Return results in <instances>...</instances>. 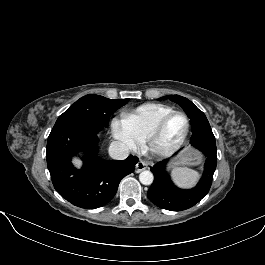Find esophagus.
Wrapping results in <instances>:
<instances>
[{
  "mask_svg": "<svg viewBox=\"0 0 265 265\" xmlns=\"http://www.w3.org/2000/svg\"><path fill=\"white\" fill-rule=\"evenodd\" d=\"M147 166H148L147 162L140 160L136 165L135 172L140 173L141 171L145 170Z\"/></svg>",
  "mask_w": 265,
  "mask_h": 265,
  "instance_id": "obj_1",
  "label": "esophagus"
}]
</instances>
